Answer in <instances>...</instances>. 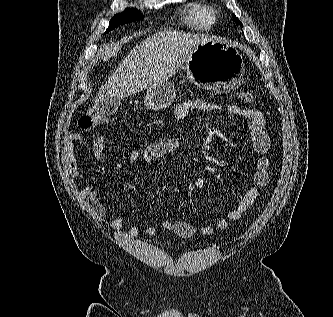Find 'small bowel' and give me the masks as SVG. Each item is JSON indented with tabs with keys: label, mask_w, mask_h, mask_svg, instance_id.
Segmentation results:
<instances>
[{
	"label": "small bowel",
	"mask_w": 333,
	"mask_h": 317,
	"mask_svg": "<svg viewBox=\"0 0 333 317\" xmlns=\"http://www.w3.org/2000/svg\"><path fill=\"white\" fill-rule=\"evenodd\" d=\"M221 106L204 99H189L178 104L174 109V117L180 123L191 112H211L220 110ZM230 114L242 116L247 120V125L250 134V141L253 149L257 152L258 157L255 163V172L253 174V185L250 186L242 198L229 210L225 217L216 221L213 225H204L197 229L194 225L177 219H165L162 222V227L175 233L183 238H190L197 232L202 235H211L216 229L225 230L230 222L241 218L244 212L254 203L258 195V188L264 187L270 182V160L267 153L270 148V139L267 133L266 119L262 112L243 108L236 104H231L227 107ZM83 136L78 132L68 135L65 141L64 158L66 166L71 177L74 180L78 179L77 158L75 154V146L82 141ZM107 141V136H99L93 145V153L96 158H99L104 150ZM181 142L178 138H164L148 144L142 152L132 151L128 155L130 163L144 162L152 164L162 157L174 153L179 149ZM80 195L85 199L87 206L94 216L101 218L106 214V208L101 202L99 192L92 184H86L79 187ZM123 227L122 215L116 216L110 223V228L114 232H119ZM158 229L154 225L146 227L145 232L148 235H155ZM139 233V228L133 224L128 230L129 237H136Z\"/></svg>",
	"instance_id": "small-bowel-1"
}]
</instances>
